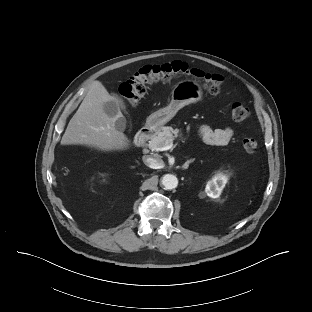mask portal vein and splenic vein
Returning <instances> with one entry per match:
<instances>
[{
    "label": "portal vein and splenic vein",
    "instance_id": "1",
    "mask_svg": "<svg viewBox=\"0 0 312 312\" xmlns=\"http://www.w3.org/2000/svg\"><path fill=\"white\" fill-rule=\"evenodd\" d=\"M173 147V143H169V144H166L165 146L161 147V148H158L157 150L159 151H166V150H169Z\"/></svg>",
    "mask_w": 312,
    "mask_h": 312
}]
</instances>
